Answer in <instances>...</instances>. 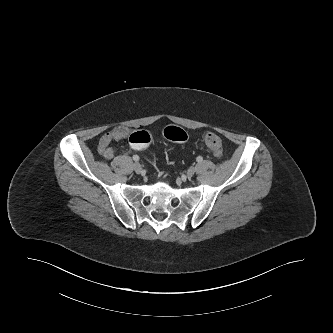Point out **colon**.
<instances>
[{
	"label": "colon",
	"mask_w": 333,
	"mask_h": 333,
	"mask_svg": "<svg viewBox=\"0 0 333 333\" xmlns=\"http://www.w3.org/2000/svg\"><path fill=\"white\" fill-rule=\"evenodd\" d=\"M164 136L174 142H185L188 138L187 133L180 127L168 126L164 130ZM152 141L150 133L146 130L132 132L129 137V148L133 152H140L147 147ZM204 141L207 147L214 155L220 156L223 152V142L221 138L214 133H206Z\"/></svg>",
	"instance_id": "1"
}]
</instances>
